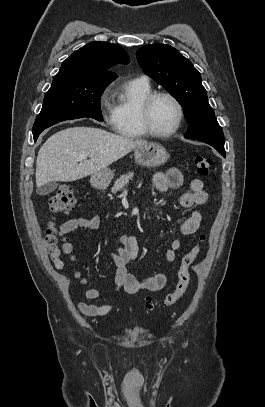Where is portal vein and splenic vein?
Listing matches in <instances>:
<instances>
[{
    "label": "portal vein and splenic vein",
    "instance_id": "18ae733b",
    "mask_svg": "<svg viewBox=\"0 0 265 407\" xmlns=\"http://www.w3.org/2000/svg\"><path fill=\"white\" fill-rule=\"evenodd\" d=\"M86 158H87V155H85V154L80 156V159H86Z\"/></svg>",
    "mask_w": 265,
    "mask_h": 407
}]
</instances>
